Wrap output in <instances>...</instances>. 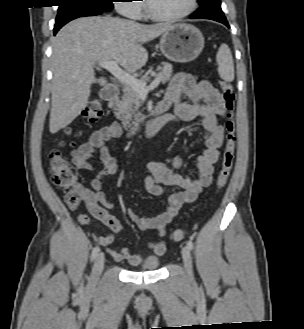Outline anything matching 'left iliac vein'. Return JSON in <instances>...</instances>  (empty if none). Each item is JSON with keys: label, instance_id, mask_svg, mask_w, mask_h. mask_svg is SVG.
Returning a JSON list of instances; mask_svg holds the SVG:
<instances>
[{"label": "left iliac vein", "instance_id": "left-iliac-vein-1", "mask_svg": "<svg viewBox=\"0 0 304 329\" xmlns=\"http://www.w3.org/2000/svg\"><path fill=\"white\" fill-rule=\"evenodd\" d=\"M182 257L187 275L190 279H193L192 259L188 246L182 248Z\"/></svg>", "mask_w": 304, "mask_h": 329}]
</instances>
